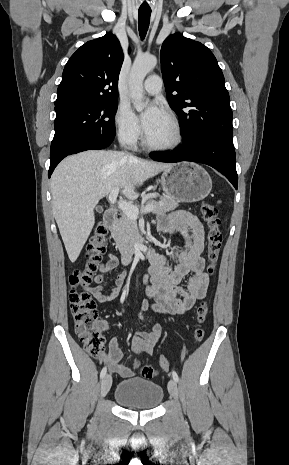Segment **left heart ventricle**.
<instances>
[{"label":"left heart ventricle","mask_w":289,"mask_h":465,"mask_svg":"<svg viewBox=\"0 0 289 465\" xmlns=\"http://www.w3.org/2000/svg\"><path fill=\"white\" fill-rule=\"evenodd\" d=\"M147 139L155 144H165L172 141L174 132L172 125L164 114L157 125L146 134Z\"/></svg>","instance_id":"left-heart-ventricle-1"}]
</instances>
